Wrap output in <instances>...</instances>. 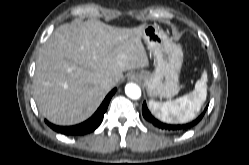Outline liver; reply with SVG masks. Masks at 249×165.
<instances>
[{"instance_id": "obj_1", "label": "liver", "mask_w": 249, "mask_h": 165, "mask_svg": "<svg viewBox=\"0 0 249 165\" xmlns=\"http://www.w3.org/2000/svg\"><path fill=\"white\" fill-rule=\"evenodd\" d=\"M144 27L118 28L95 19L59 26L36 61L33 94L40 113L57 125L88 119L111 90L104 79L117 84L124 71L149 66Z\"/></svg>"}]
</instances>
